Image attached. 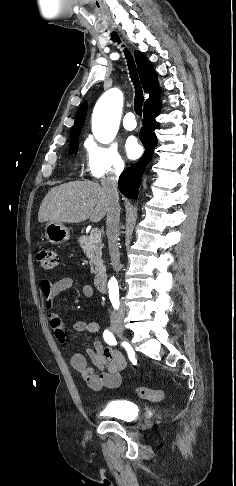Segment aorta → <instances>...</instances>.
Here are the masks:
<instances>
[{
  "mask_svg": "<svg viewBox=\"0 0 236 486\" xmlns=\"http://www.w3.org/2000/svg\"><path fill=\"white\" fill-rule=\"evenodd\" d=\"M123 94L113 88L105 92L98 100L92 116V132L101 143L107 144L115 138L121 116ZM110 296L119 294L117 280L112 277L108 282Z\"/></svg>",
  "mask_w": 236,
  "mask_h": 486,
  "instance_id": "1",
  "label": "aorta"
}]
</instances>
